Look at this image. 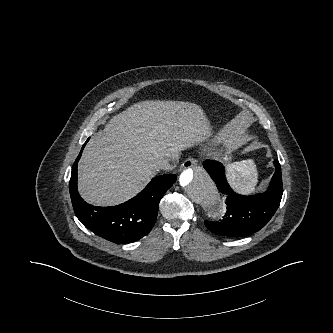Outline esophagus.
I'll list each match as a JSON object with an SVG mask.
<instances>
[{
	"label": "esophagus",
	"mask_w": 333,
	"mask_h": 333,
	"mask_svg": "<svg viewBox=\"0 0 333 333\" xmlns=\"http://www.w3.org/2000/svg\"><path fill=\"white\" fill-rule=\"evenodd\" d=\"M197 164V160L194 159V158H188L186 159L182 165H181V168L182 169H187V168H191L193 166H195Z\"/></svg>",
	"instance_id": "34e87169"
}]
</instances>
